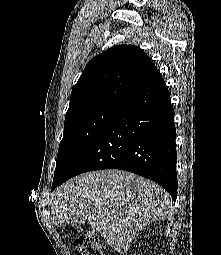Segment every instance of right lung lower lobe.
Here are the masks:
<instances>
[{"mask_svg": "<svg viewBox=\"0 0 221 255\" xmlns=\"http://www.w3.org/2000/svg\"><path fill=\"white\" fill-rule=\"evenodd\" d=\"M175 138L170 93L160 77L119 105L87 150L51 190L84 172L121 169L157 182L175 201Z\"/></svg>", "mask_w": 221, "mask_h": 255, "instance_id": "right-lung-lower-lobe-1", "label": "right lung lower lobe"}]
</instances>
